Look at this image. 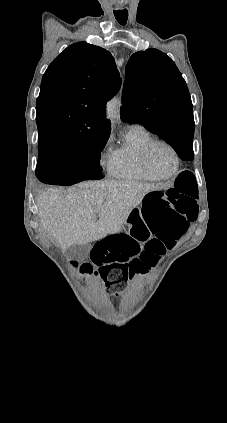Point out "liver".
<instances>
[{
	"label": "liver",
	"instance_id": "1",
	"mask_svg": "<svg viewBox=\"0 0 227 423\" xmlns=\"http://www.w3.org/2000/svg\"><path fill=\"white\" fill-rule=\"evenodd\" d=\"M153 190H161L160 184L113 180L82 182L69 190L48 188L37 198L40 225L62 249L86 245L121 231L130 211Z\"/></svg>",
	"mask_w": 227,
	"mask_h": 423
}]
</instances>
